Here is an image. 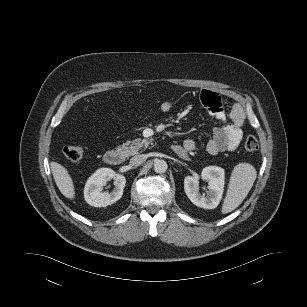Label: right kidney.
Segmentation results:
<instances>
[{"label":"right kidney","instance_id":"ca27d5eb","mask_svg":"<svg viewBox=\"0 0 307 307\" xmlns=\"http://www.w3.org/2000/svg\"><path fill=\"white\" fill-rule=\"evenodd\" d=\"M113 179L115 188L111 192H102L106 182ZM126 179L110 168H100L86 182L85 201L94 207H106L118 201L123 195Z\"/></svg>","mask_w":307,"mask_h":307}]
</instances>
